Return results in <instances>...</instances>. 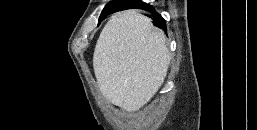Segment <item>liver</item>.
<instances>
[{"label":"liver","instance_id":"6515ba94","mask_svg":"<svg viewBox=\"0 0 257 130\" xmlns=\"http://www.w3.org/2000/svg\"><path fill=\"white\" fill-rule=\"evenodd\" d=\"M171 56L162 30L136 10L111 16L97 40L93 68L102 95L134 112L163 84Z\"/></svg>","mask_w":257,"mask_h":130}]
</instances>
